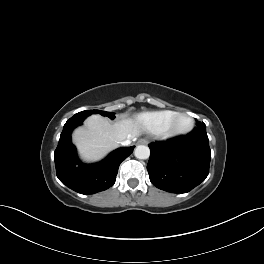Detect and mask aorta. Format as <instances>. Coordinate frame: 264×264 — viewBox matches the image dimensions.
Segmentation results:
<instances>
[{
    "label": "aorta",
    "mask_w": 264,
    "mask_h": 264,
    "mask_svg": "<svg viewBox=\"0 0 264 264\" xmlns=\"http://www.w3.org/2000/svg\"><path fill=\"white\" fill-rule=\"evenodd\" d=\"M134 155L138 159H148L150 156V149L145 145H138L134 150Z\"/></svg>",
    "instance_id": "1"
}]
</instances>
